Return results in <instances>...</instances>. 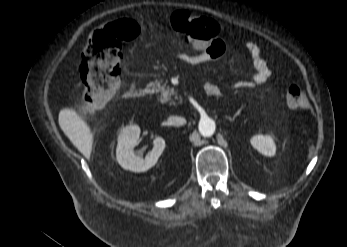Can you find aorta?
Returning a JSON list of instances; mask_svg holds the SVG:
<instances>
[{"mask_svg": "<svg viewBox=\"0 0 347 247\" xmlns=\"http://www.w3.org/2000/svg\"><path fill=\"white\" fill-rule=\"evenodd\" d=\"M215 122L210 118L201 119L199 123V131L204 137H210L215 132Z\"/></svg>", "mask_w": 347, "mask_h": 247, "instance_id": "aorta-1", "label": "aorta"}]
</instances>
